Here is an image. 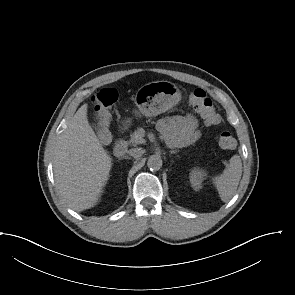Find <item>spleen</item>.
I'll return each instance as SVG.
<instances>
[{
	"label": "spleen",
	"mask_w": 295,
	"mask_h": 295,
	"mask_svg": "<svg viewBox=\"0 0 295 295\" xmlns=\"http://www.w3.org/2000/svg\"><path fill=\"white\" fill-rule=\"evenodd\" d=\"M242 175V162L240 156L234 155L220 176L213 179L223 202L229 201L236 193Z\"/></svg>",
	"instance_id": "1"
}]
</instances>
